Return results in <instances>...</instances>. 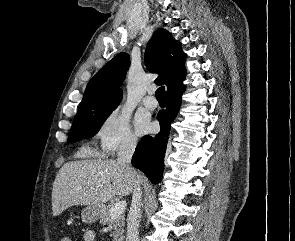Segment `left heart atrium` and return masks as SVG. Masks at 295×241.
I'll list each match as a JSON object with an SVG mask.
<instances>
[{
	"label": "left heart atrium",
	"mask_w": 295,
	"mask_h": 241,
	"mask_svg": "<svg viewBox=\"0 0 295 241\" xmlns=\"http://www.w3.org/2000/svg\"><path fill=\"white\" fill-rule=\"evenodd\" d=\"M135 128L138 134H144L151 128L150 122L143 116H137L135 119Z\"/></svg>",
	"instance_id": "left-heart-atrium-1"
}]
</instances>
